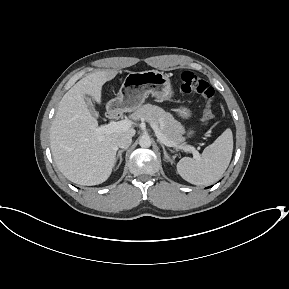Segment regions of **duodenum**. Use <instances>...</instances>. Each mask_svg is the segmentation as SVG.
I'll list each match as a JSON object with an SVG mask.
<instances>
[{
	"label": "duodenum",
	"mask_w": 289,
	"mask_h": 289,
	"mask_svg": "<svg viewBox=\"0 0 289 289\" xmlns=\"http://www.w3.org/2000/svg\"><path fill=\"white\" fill-rule=\"evenodd\" d=\"M107 116L110 119H119L121 117V112L115 107H111L107 111Z\"/></svg>",
	"instance_id": "duodenum-1"
}]
</instances>
